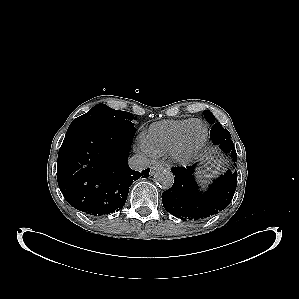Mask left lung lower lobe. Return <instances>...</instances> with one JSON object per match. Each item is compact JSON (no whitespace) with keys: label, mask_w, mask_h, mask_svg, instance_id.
<instances>
[{"label":"left lung lower lobe","mask_w":299,"mask_h":299,"mask_svg":"<svg viewBox=\"0 0 299 299\" xmlns=\"http://www.w3.org/2000/svg\"><path fill=\"white\" fill-rule=\"evenodd\" d=\"M218 145L222 151L231 153L233 162H236L237 154L232 140ZM194 169L195 165L173 167L174 184L162 193L164 208L184 221L205 219L223 210L232 201L237 186V171H228L206 192H200L194 179Z\"/></svg>","instance_id":"1"}]
</instances>
